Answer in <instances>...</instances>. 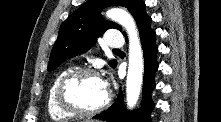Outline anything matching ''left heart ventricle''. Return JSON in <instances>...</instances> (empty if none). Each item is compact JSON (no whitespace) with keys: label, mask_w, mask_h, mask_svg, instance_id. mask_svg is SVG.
<instances>
[{"label":"left heart ventricle","mask_w":221,"mask_h":122,"mask_svg":"<svg viewBox=\"0 0 221 122\" xmlns=\"http://www.w3.org/2000/svg\"><path fill=\"white\" fill-rule=\"evenodd\" d=\"M107 89L100 77L83 75L78 77L68 88L70 99L78 106L92 109L99 106L105 99Z\"/></svg>","instance_id":"b2bd125f"}]
</instances>
